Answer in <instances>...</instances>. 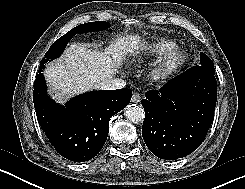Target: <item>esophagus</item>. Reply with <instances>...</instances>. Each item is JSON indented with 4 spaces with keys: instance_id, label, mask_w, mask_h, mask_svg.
Wrapping results in <instances>:
<instances>
[{
    "instance_id": "1",
    "label": "esophagus",
    "mask_w": 245,
    "mask_h": 189,
    "mask_svg": "<svg viewBox=\"0 0 245 189\" xmlns=\"http://www.w3.org/2000/svg\"><path fill=\"white\" fill-rule=\"evenodd\" d=\"M140 100H141V97H140L139 93L134 92L133 95H132L131 101L133 103H139Z\"/></svg>"
}]
</instances>
